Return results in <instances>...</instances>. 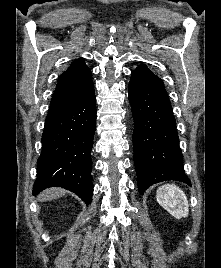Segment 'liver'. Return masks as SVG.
<instances>
[{
    "mask_svg": "<svg viewBox=\"0 0 221 268\" xmlns=\"http://www.w3.org/2000/svg\"><path fill=\"white\" fill-rule=\"evenodd\" d=\"M66 194V191L61 188H50L45 191H43L39 197L38 201L45 202L50 201L52 199H57L59 197H62Z\"/></svg>",
    "mask_w": 221,
    "mask_h": 268,
    "instance_id": "1",
    "label": "liver"
}]
</instances>
